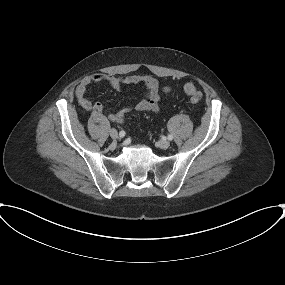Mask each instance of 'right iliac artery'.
Masks as SVG:
<instances>
[{"mask_svg":"<svg viewBox=\"0 0 285 285\" xmlns=\"http://www.w3.org/2000/svg\"><path fill=\"white\" fill-rule=\"evenodd\" d=\"M119 135H120V137H124L125 136V131H120Z\"/></svg>","mask_w":285,"mask_h":285,"instance_id":"right-iliac-artery-1","label":"right iliac artery"}]
</instances>
